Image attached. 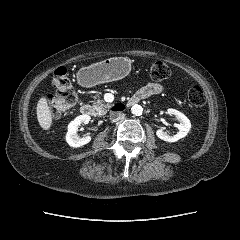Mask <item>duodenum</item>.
I'll list each match as a JSON object with an SVG mask.
<instances>
[{
  "mask_svg": "<svg viewBox=\"0 0 240 240\" xmlns=\"http://www.w3.org/2000/svg\"><path fill=\"white\" fill-rule=\"evenodd\" d=\"M140 100H142V97L138 93H135L125 103H119V104L115 105V110L122 111L127 107H131L134 104H137ZM81 112L85 115H92L93 109L89 104H83L81 106Z\"/></svg>",
  "mask_w": 240,
  "mask_h": 240,
  "instance_id": "1",
  "label": "duodenum"
}]
</instances>
